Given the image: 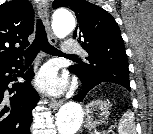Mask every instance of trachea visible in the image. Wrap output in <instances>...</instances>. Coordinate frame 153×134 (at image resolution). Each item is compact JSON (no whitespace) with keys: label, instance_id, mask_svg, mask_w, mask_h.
<instances>
[{"label":"trachea","instance_id":"1","mask_svg":"<svg viewBox=\"0 0 153 134\" xmlns=\"http://www.w3.org/2000/svg\"><path fill=\"white\" fill-rule=\"evenodd\" d=\"M42 50L43 52L55 55V56H68V57H77L76 55L64 54L54 46H52L47 39L45 27L41 19H37L36 23V36L33 43L28 49L24 52L25 61L33 60L36 55Z\"/></svg>","mask_w":153,"mask_h":134}]
</instances>
